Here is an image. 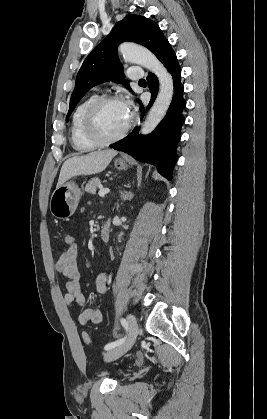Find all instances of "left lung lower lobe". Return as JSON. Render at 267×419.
<instances>
[{
	"label": "left lung lower lobe",
	"instance_id": "0a47b994",
	"mask_svg": "<svg viewBox=\"0 0 267 419\" xmlns=\"http://www.w3.org/2000/svg\"><path fill=\"white\" fill-rule=\"evenodd\" d=\"M158 59L167 67L174 82L173 99L167 114L149 135H138V129L135 128L132 133L111 147L130 154L136 160L155 165L158 172L171 180L172 171L177 162L176 146L180 141V131L185 121L182 112L186 106V101L183 98L184 87L180 81L181 69L169 42L165 45ZM147 82L151 91V100L147 106V109H149L157 96L159 82L153 73H149ZM139 103L141 118H143L145 109L140 101Z\"/></svg>",
	"mask_w": 267,
	"mask_h": 419
}]
</instances>
